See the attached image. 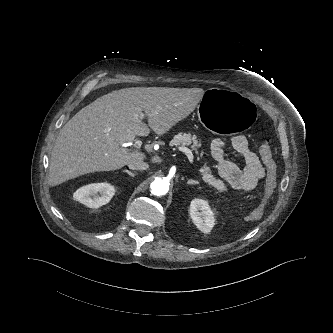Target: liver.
Masks as SVG:
<instances>
[{
	"label": "liver",
	"mask_w": 333,
	"mask_h": 333,
	"mask_svg": "<svg viewBox=\"0 0 333 333\" xmlns=\"http://www.w3.org/2000/svg\"><path fill=\"white\" fill-rule=\"evenodd\" d=\"M204 93L201 88L132 87L97 98L60 130L51 153V184L144 160V153L131 152L124 144L147 136L149 127L157 135L165 134L194 111Z\"/></svg>",
	"instance_id": "obj_1"
}]
</instances>
